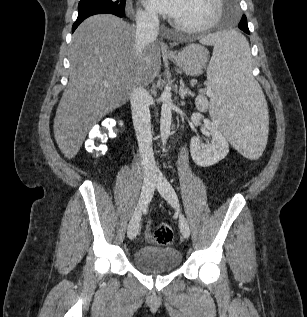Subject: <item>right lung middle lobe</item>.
Here are the masks:
<instances>
[{
  "instance_id": "right-lung-middle-lobe-1",
  "label": "right lung middle lobe",
  "mask_w": 307,
  "mask_h": 317,
  "mask_svg": "<svg viewBox=\"0 0 307 317\" xmlns=\"http://www.w3.org/2000/svg\"><path fill=\"white\" fill-rule=\"evenodd\" d=\"M126 0H80L78 14L92 11L103 10L112 14H121L125 10Z\"/></svg>"
}]
</instances>
